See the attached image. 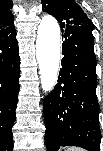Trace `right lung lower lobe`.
Returning <instances> with one entry per match:
<instances>
[{
    "label": "right lung lower lobe",
    "mask_w": 103,
    "mask_h": 151,
    "mask_svg": "<svg viewBox=\"0 0 103 151\" xmlns=\"http://www.w3.org/2000/svg\"><path fill=\"white\" fill-rule=\"evenodd\" d=\"M15 28L0 33V149H13L12 127L20 89V58Z\"/></svg>",
    "instance_id": "obj_1"
}]
</instances>
